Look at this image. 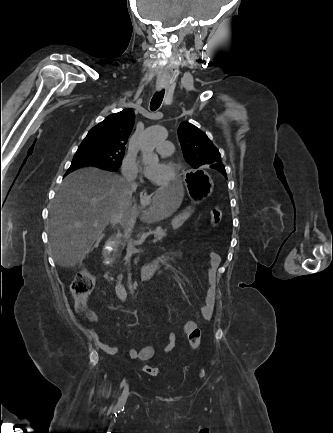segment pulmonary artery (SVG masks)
Instances as JSON below:
<instances>
[{
	"mask_svg": "<svg viewBox=\"0 0 333 433\" xmlns=\"http://www.w3.org/2000/svg\"><path fill=\"white\" fill-rule=\"evenodd\" d=\"M156 150L163 156H169L173 153V144L170 141H162L157 145Z\"/></svg>",
	"mask_w": 333,
	"mask_h": 433,
	"instance_id": "pulmonary-artery-1",
	"label": "pulmonary artery"
}]
</instances>
